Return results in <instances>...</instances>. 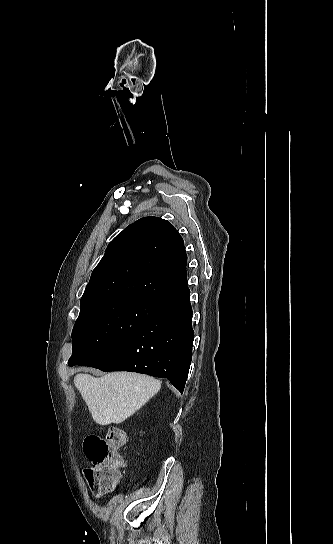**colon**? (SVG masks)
I'll list each match as a JSON object with an SVG mask.
<instances>
[{
	"label": "colon",
	"mask_w": 333,
	"mask_h": 544,
	"mask_svg": "<svg viewBox=\"0 0 333 544\" xmlns=\"http://www.w3.org/2000/svg\"><path fill=\"white\" fill-rule=\"evenodd\" d=\"M126 440L125 431L116 426L109 427L104 437H86L83 450L92 466L84 470V476L92 488L110 490L119 483L124 466L119 449Z\"/></svg>",
	"instance_id": "1"
}]
</instances>
